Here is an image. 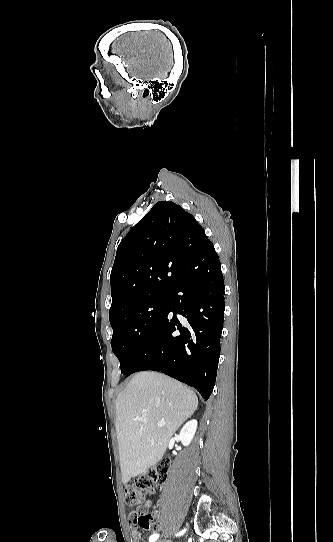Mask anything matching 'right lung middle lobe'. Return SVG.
<instances>
[{
	"instance_id": "dd1d6c3e",
	"label": "right lung middle lobe",
	"mask_w": 333,
	"mask_h": 542,
	"mask_svg": "<svg viewBox=\"0 0 333 542\" xmlns=\"http://www.w3.org/2000/svg\"><path fill=\"white\" fill-rule=\"evenodd\" d=\"M168 310V295L127 308L110 318L113 329L111 347L127 374L133 362Z\"/></svg>"
}]
</instances>
